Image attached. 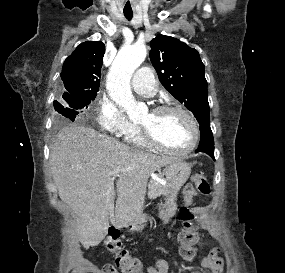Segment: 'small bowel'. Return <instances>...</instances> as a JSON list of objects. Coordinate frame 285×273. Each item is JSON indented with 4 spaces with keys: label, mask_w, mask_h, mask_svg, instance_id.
<instances>
[{
    "label": "small bowel",
    "mask_w": 285,
    "mask_h": 273,
    "mask_svg": "<svg viewBox=\"0 0 285 273\" xmlns=\"http://www.w3.org/2000/svg\"><path fill=\"white\" fill-rule=\"evenodd\" d=\"M203 266L208 273H223L224 261L218 255V250L213 249L203 260ZM142 273H168V263L164 260H158L152 265H148ZM190 273H202L199 269L193 268Z\"/></svg>",
    "instance_id": "small-bowel-1"
}]
</instances>
